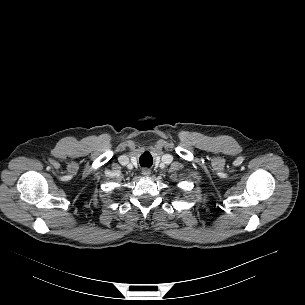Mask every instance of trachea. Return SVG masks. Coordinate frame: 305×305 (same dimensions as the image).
<instances>
[{
	"label": "trachea",
	"mask_w": 305,
	"mask_h": 305,
	"mask_svg": "<svg viewBox=\"0 0 305 305\" xmlns=\"http://www.w3.org/2000/svg\"><path fill=\"white\" fill-rule=\"evenodd\" d=\"M140 164H141V166H146V167H150L151 166V164H149V163L145 164L143 158L140 159Z\"/></svg>",
	"instance_id": "3493384b"
}]
</instances>
